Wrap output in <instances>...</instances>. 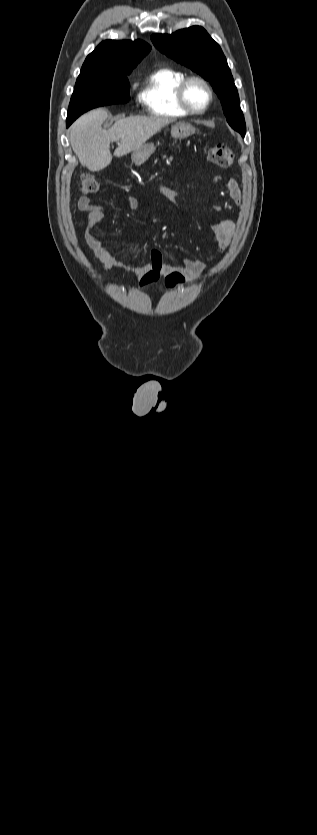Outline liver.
<instances>
[{
    "label": "liver",
    "instance_id": "liver-1",
    "mask_svg": "<svg viewBox=\"0 0 317 835\" xmlns=\"http://www.w3.org/2000/svg\"><path fill=\"white\" fill-rule=\"evenodd\" d=\"M109 117L106 109L90 111L78 118L70 128V144L82 165L99 171L112 161L110 143L118 142L116 157L138 150L148 139L170 123L157 117L130 116L120 118L108 130L102 128Z\"/></svg>",
    "mask_w": 317,
    "mask_h": 835
}]
</instances>
